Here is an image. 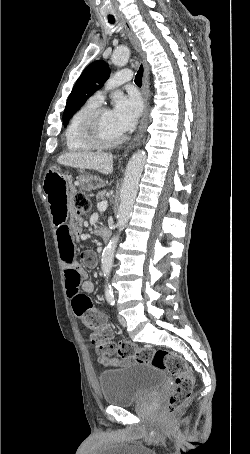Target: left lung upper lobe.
<instances>
[{
	"label": "left lung upper lobe",
	"instance_id": "left-lung-upper-lobe-1",
	"mask_svg": "<svg viewBox=\"0 0 250 454\" xmlns=\"http://www.w3.org/2000/svg\"><path fill=\"white\" fill-rule=\"evenodd\" d=\"M109 75V66L103 60L95 61L85 68L68 97L63 113L64 126L68 124V120L73 114L84 105L85 101L102 87Z\"/></svg>",
	"mask_w": 250,
	"mask_h": 454
}]
</instances>
